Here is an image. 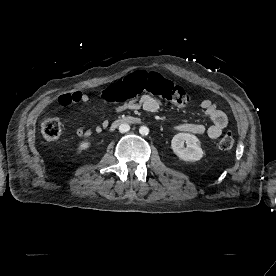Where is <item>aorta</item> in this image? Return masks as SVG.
<instances>
[{
    "mask_svg": "<svg viewBox=\"0 0 276 276\" xmlns=\"http://www.w3.org/2000/svg\"><path fill=\"white\" fill-rule=\"evenodd\" d=\"M139 133L142 135V136H146L149 134V128L146 127V126H141L139 128Z\"/></svg>",
    "mask_w": 276,
    "mask_h": 276,
    "instance_id": "1",
    "label": "aorta"
}]
</instances>
